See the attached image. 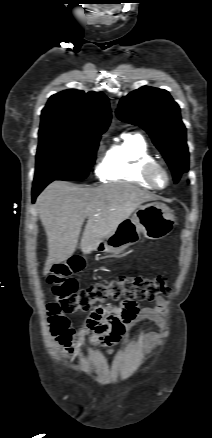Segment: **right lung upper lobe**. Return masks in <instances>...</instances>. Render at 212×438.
Returning <instances> with one entry per match:
<instances>
[{"label": "right lung upper lobe", "mask_w": 212, "mask_h": 438, "mask_svg": "<svg viewBox=\"0 0 212 438\" xmlns=\"http://www.w3.org/2000/svg\"><path fill=\"white\" fill-rule=\"evenodd\" d=\"M110 120L108 98L102 92L65 90L49 98L42 110L39 133L97 135L107 130Z\"/></svg>", "instance_id": "right-lung-upper-lobe-1"}]
</instances>
